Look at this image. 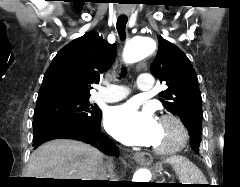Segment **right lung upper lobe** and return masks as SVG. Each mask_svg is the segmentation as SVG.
Wrapping results in <instances>:
<instances>
[{
  "label": "right lung upper lobe",
  "instance_id": "cb5924a9",
  "mask_svg": "<svg viewBox=\"0 0 240 187\" xmlns=\"http://www.w3.org/2000/svg\"><path fill=\"white\" fill-rule=\"evenodd\" d=\"M116 46L96 32L85 33L64 46L44 74L37 105L59 99L87 98L115 58Z\"/></svg>",
  "mask_w": 240,
  "mask_h": 187
}]
</instances>
